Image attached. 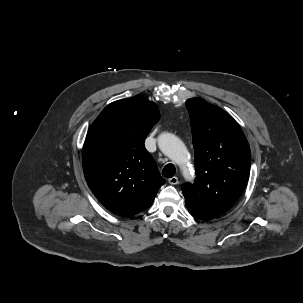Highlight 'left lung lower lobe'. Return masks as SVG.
<instances>
[{"mask_svg": "<svg viewBox=\"0 0 303 303\" xmlns=\"http://www.w3.org/2000/svg\"><path fill=\"white\" fill-rule=\"evenodd\" d=\"M189 212L191 215H193L194 217L203 220V221H208L210 219H212V217L208 216L207 214L203 213V212H199L196 210H192L190 208H188Z\"/></svg>", "mask_w": 303, "mask_h": 303, "instance_id": "1", "label": "left lung lower lobe"}]
</instances>
